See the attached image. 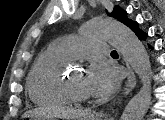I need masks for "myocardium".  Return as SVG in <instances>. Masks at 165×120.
<instances>
[{"label":"myocardium","instance_id":"f54148a6","mask_svg":"<svg viewBox=\"0 0 165 120\" xmlns=\"http://www.w3.org/2000/svg\"><path fill=\"white\" fill-rule=\"evenodd\" d=\"M63 88L68 97L73 101L79 102H91L93 99L91 96L85 95L77 91L70 83L67 76L63 79Z\"/></svg>","mask_w":165,"mask_h":120}]
</instances>
